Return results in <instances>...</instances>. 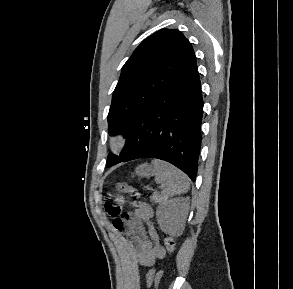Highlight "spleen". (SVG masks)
<instances>
[{
  "instance_id": "1",
  "label": "spleen",
  "mask_w": 293,
  "mask_h": 289,
  "mask_svg": "<svg viewBox=\"0 0 293 289\" xmlns=\"http://www.w3.org/2000/svg\"><path fill=\"white\" fill-rule=\"evenodd\" d=\"M152 165L155 182L165 187L164 195L175 196L188 191L190 184L187 176L175 166L157 159L152 161Z\"/></svg>"
}]
</instances>
